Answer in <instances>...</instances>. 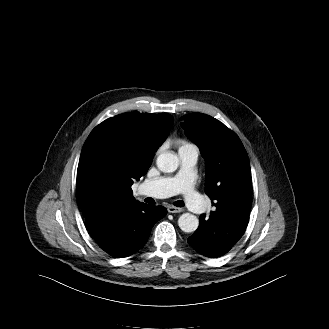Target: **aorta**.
I'll use <instances>...</instances> for the list:
<instances>
[{
  "label": "aorta",
  "instance_id": "1",
  "mask_svg": "<svg viewBox=\"0 0 329 329\" xmlns=\"http://www.w3.org/2000/svg\"><path fill=\"white\" fill-rule=\"evenodd\" d=\"M156 164L158 169L164 173L174 172L179 166V158L174 153L164 152L157 157ZM198 225V218L190 213H184L178 219V226L186 233L196 231Z\"/></svg>",
  "mask_w": 329,
  "mask_h": 329
}]
</instances>
